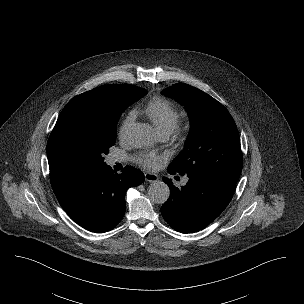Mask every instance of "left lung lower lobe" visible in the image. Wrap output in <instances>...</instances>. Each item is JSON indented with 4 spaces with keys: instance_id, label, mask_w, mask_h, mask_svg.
Here are the masks:
<instances>
[{
    "instance_id": "obj_1",
    "label": "left lung lower lobe",
    "mask_w": 304,
    "mask_h": 304,
    "mask_svg": "<svg viewBox=\"0 0 304 304\" xmlns=\"http://www.w3.org/2000/svg\"><path fill=\"white\" fill-rule=\"evenodd\" d=\"M170 174H175L168 168ZM163 181L170 188V197L161 207L165 221L176 231H198L216 217L229 204L236 184L205 177H189L185 186L178 188L167 177Z\"/></svg>"
}]
</instances>
